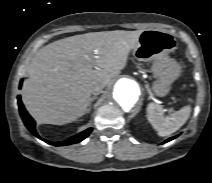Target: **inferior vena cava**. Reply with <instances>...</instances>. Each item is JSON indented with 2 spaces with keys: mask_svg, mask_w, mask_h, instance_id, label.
I'll use <instances>...</instances> for the list:
<instances>
[{
  "mask_svg": "<svg viewBox=\"0 0 212 183\" xmlns=\"http://www.w3.org/2000/svg\"><path fill=\"white\" fill-rule=\"evenodd\" d=\"M104 87H105V86H104L103 84H98V85H96V86L93 88V90H92V94H94V95H99V94L102 92V90H103Z\"/></svg>",
  "mask_w": 212,
  "mask_h": 183,
  "instance_id": "inferior-vena-cava-1",
  "label": "inferior vena cava"
}]
</instances>
